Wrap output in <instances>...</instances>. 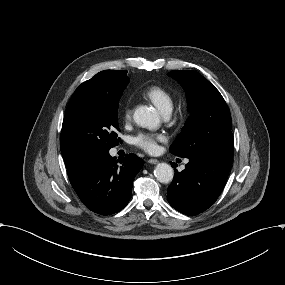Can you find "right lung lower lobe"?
Segmentation results:
<instances>
[{"mask_svg": "<svg viewBox=\"0 0 285 285\" xmlns=\"http://www.w3.org/2000/svg\"><path fill=\"white\" fill-rule=\"evenodd\" d=\"M65 164L71 185L82 203L95 213L111 215L128 204L134 177L143 161L135 154L119 161L109 152H102Z\"/></svg>", "mask_w": 285, "mask_h": 285, "instance_id": "98d812e1", "label": "right lung lower lobe"}]
</instances>
